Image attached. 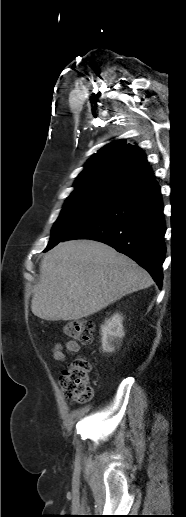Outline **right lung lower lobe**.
<instances>
[{
  "instance_id": "right-lung-lower-lobe-1",
  "label": "right lung lower lobe",
  "mask_w": 186,
  "mask_h": 517,
  "mask_svg": "<svg viewBox=\"0 0 186 517\" xmlns=\"http://www.w3.org/2000/svg\"><path fill=\"white\" fill-rule=\"evenodd\" d=\"M165 231L161 192L156 183L116 201L63 241L92 239L106 243L146 269L161 289Z\"/></svg>"
}]
</instances>
